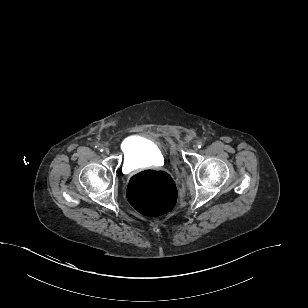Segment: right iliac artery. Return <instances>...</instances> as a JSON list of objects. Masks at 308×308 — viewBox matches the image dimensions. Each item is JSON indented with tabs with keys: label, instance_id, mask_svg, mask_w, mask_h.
<instances>
[{
	"label": "right iliac artery",
	"instance_id": "right-iliac-artery-1",
	"mask_svg": "<svg viewBox=\"0 0 308 308\" xmlns=\"http://www.w3.org/2000/svg\"><path fill=\"white\" fill-rule=\"evenodd\" d=\"M96 148H98V150L100 151V152H102L103 150H104V148H103V146H95Z\"/></svg>",
	"mask_w": 308,
	"mask_h": 308
}]
</instances>
